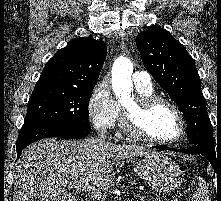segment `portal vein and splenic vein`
Returning <instances> with one entry per match:
<instances>
[{
	"mask_svg": "<svg viewBox=\"0 0 221 201\" xmlns=\"http://www.w3.org/2000/svg\"><path fill=\"white\" fill-rule=\"evenodd\" d=\"M74 187L91 194L95 198L100 199L102 197V192L99 189H97L94 186H91L89 184H85V185L84 184L83 185L76 184V185H74ZM138 197L141 201H143L144 197L142 195H139Z\"/></svg>",
	"mask_w": 221,
	"mask_h": 201,
	"instance_id": "1",
	"label": "portal vein and splenic vein"
}]
</instances>
